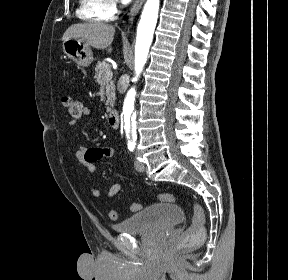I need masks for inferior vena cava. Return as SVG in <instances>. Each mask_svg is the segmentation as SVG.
Listing matches in <instances>:
<instances>
[{
    "mask_svg": "<svg viewBox=\"0 0 288 280\" xmlns=\"http://www.w3.org/2000/svg\"><path fill=\"white\" fill-rule=\"evenodd\" d=\"M128 83L129 78H126V76H122L120 78V81L118 82V90H127Z\"/></svg>",
    "mask_w": 288,
    "mask_h": 280,
    "instance_id": "inferior-vena-cava-1",
    "label": "inferior vena cava"
}]
</instances>
